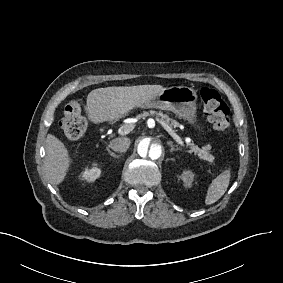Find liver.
Masks as SVG:
<instances>
[{
    "mask_svg": "<svg viewBox=\"0 0 283 283\" xmlns=\"http://www.w3.org/2000/svg\"><path fill=\"white\" fill-rule=\"evenodd\" d=\"M161 85H138L106 87L92 90L87 96L85 107L88 118L93 123L118 119L135 107L155 98ZM44 170L49 182L57 185L64 180L70 159L65 145L54 135L46 138Z\"/></svg>",
    "mask_w": 283,
    "mask_h": 283,
    "instance_id": "liver-1",
    "label": "liver"
}]
</instances>
